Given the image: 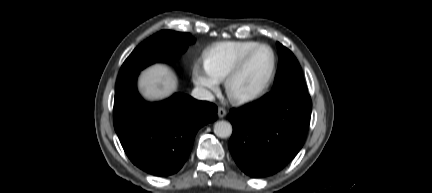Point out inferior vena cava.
<instances>
[{
	"mask_svg": "<svg viewBox=\"0 0 432 193\" xmlns=\"http://www.w3.org/2000/svg\"><path fill=\"white\" fill-rule=\"evenodd\" d=\"M192 97H194L195 99L198 100H206V101H213L214 100V96L213 94L202 87H196L192 90L191 93Z\"/></svg>",
	"mask_w": 432,
	"mask_h": 193,
	"instance_id": "1",
	"label": "inferior vena cava"
}]
</instances>
